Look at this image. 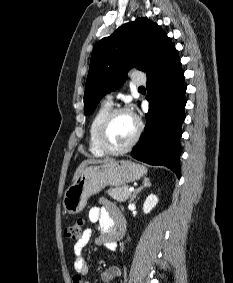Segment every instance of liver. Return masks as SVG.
I'll return each instance as SVG.
<instances>
[{
    "label": "liver",
    "mask_w": 233,
    "mask_h": 283,
    "mask_svg": "<svg viewBox=\"0 0 233 283\" xmlns=\"http://www.w3.org/2000/svg\"><path fill=\"white\" fill-rule=\"evenodd\" d=\"M113 160H114V159H112V158H106V159H103V160L89 159V160L83 161V162L78 166V168L76 169V172H75L74 177H73V182L77 179V177H78V175L80 174V172H81L86 166H88L89 164H102V163L110 162V161H113Z\"/></svg>",
    "instance_id": "liver-1"
}]
</instances>
